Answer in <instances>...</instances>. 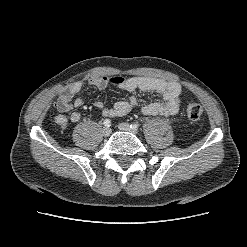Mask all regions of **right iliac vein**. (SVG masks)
I'll return each mask as SVG.
<instances>
[{"instance_id":"right-iliac-vein-1","label":"right iliac vein","mask_w":247,"mask_h":247,"mask_svg":"<svg viewBox=\"0 0 247 247\" xmlns=\"http://www.w3.org/2000/svg\"><path fill=\"white\" fill-rule=\"evenodd\" d=\"M102 133L104 136H109L111 134V129L109 127H104Z\"/></svg>"}]
</instances>
